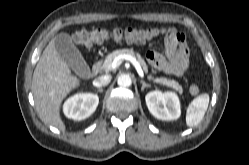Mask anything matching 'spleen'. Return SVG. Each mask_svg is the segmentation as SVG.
I'll list each match as a JSON object with an SVG mask.
<instances>
[{
	"instance_id": "3e777b00",
	"label": "spleen",
	"mask_w": 249,
	"mask_h": 165,
	"mask_svg": "<svg viewBox=\"0 0 249 165\" xmlns=\"http://www.w3.org/2000/svg\"><path fill=\"white\" fill-rule=\"evenodd\" d=\"M208 104V94H202L196 97L187 108L186 124L190 127L198 125L205 115Z\"/></svg>"
}]
</instances>
